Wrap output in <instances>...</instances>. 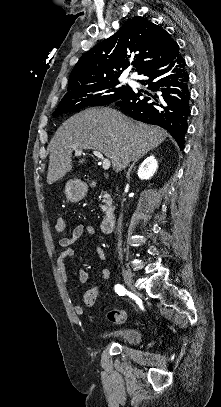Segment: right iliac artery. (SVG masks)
<instances>
[{
  "label": "right iliac artery",
  "instance_id": "right-iliac-artery-1",
  "mask_svg": "<svg viewBox=\"0 0 221 407\" xmlns=\"http://www.w3.org/2000/svg\"><path fill=\"white\" fill-rule=\"evenodd\" d=\"M114 289H115V292L120 296L125 295L127 292L126 289L124 288V286L119 285V284L115 285Z\"/></svg>",
  "mask_w": 221,
  "mask_h": 407
}]
</instances>
